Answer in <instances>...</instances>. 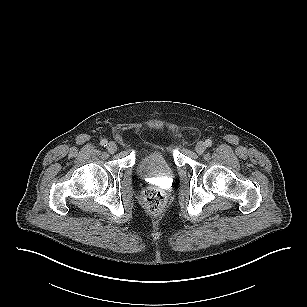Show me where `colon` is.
<instances>
[{"label": "colon", "mask_w": 307, "mask_h": 307, "mask_svg": "<svg viewBox=\"0 0 307 307\" xmlns=\"http://www.w3.org/2000/svg\"><path fill=\"white\" fill-rule=\"evenodd\" d=\"M145 207L151 213H159L165 207L166 197L164 192L157 187H149L142 193Z\"/></svg>", "instance_id": "5ec220e1"}]
</instances>
